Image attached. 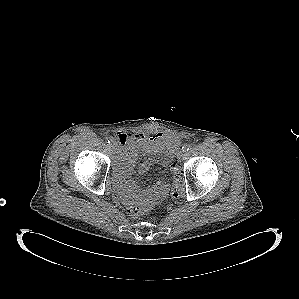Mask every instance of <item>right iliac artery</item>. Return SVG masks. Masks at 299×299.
<instances>
[{
  "label": "right iliac artery",
  "instance_id": "82829eb1",
  "mask_svg": "<svg viewBox=\"0 0 299 299\" xmlns=\"http://www.w3.org/2000/svg\"><path fill=\"white\" fill-rule=\"evenodd\" d=\"M106 139H107L108 143H113L114 142V139H113L112 136H108V137H106Z\"/></svg>",
  "mask_w": 299,
  "mask_h": 299
}]
</instances>
